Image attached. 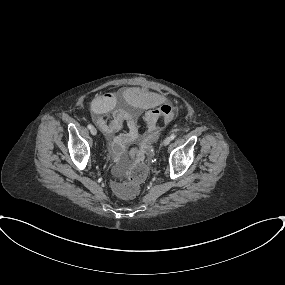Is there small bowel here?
Wrapping results in <instances>:
<instances>
[{"mask_svg": "<svg viewBox=\"0 0 285 285\" xmlns=\"http://www.w3.org/2000/svg\"><path fill=\"white\" fill-rule=\"evenodd\" d=\"M134 95L133 103L139 110L155 111L156 117L165 122H171L176 115V109L171 106L166 98L160 94L147 92L142 89H131ZM93 121L104 134L109 152L115 163L125 156V150L136 142L144 143L138 132L137 114L118 106V96L115 93L104 94L97 98L93 107ZM127 131L120 133L123 126ZM134 156L139 155V150L134 151Z\"/></svg>", "mask_w": 285, "mask_h": 285, "instance_id": "small-bowel-1", "label": "small bowel"}]
</instances>
